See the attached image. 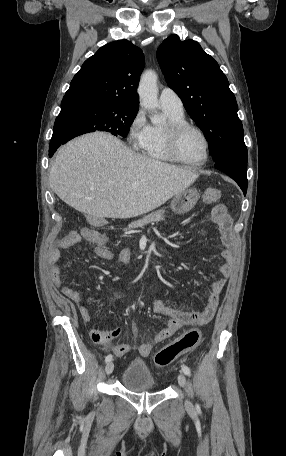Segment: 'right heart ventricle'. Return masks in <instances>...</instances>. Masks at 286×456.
Instances as JSON below:
<instances>
[{
    "mask_svg": "<svg viewBox=\"0 0 286 456\" xmlns=\"http://www.w3.org/2000/svg\"><path fill=\"white\" fill-rule=\"evenodd\" d=\"M169 118V121H184L183 113H174L169 110L163 109ZM164 126L152 125L149 126L148 135L145 142L140 147L143 154L158 162H171L173 161L166 152L163 136Z\"/></svg>",
    "mask_w": 286,
    "mask_h": 456,
    "instance_id": "right-heart-ventricle-1",
    "label": "right heart ventricle"
}]
</instances>
